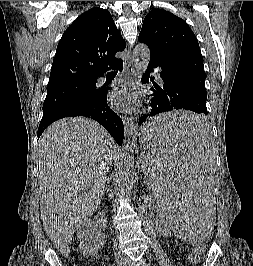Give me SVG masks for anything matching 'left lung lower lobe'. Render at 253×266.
Wrapping results in <instances>:
<instances>
[{"mask_svg": "<svg viewBox=\"0 0 253 266\" xmlns=\"http://www.w3.org/2000/svg\"><path fill=\"white\" fill-rule=\"evenodd\" d=\"M160 67V76L164 82L162 86L154 83L149 87L151 91V110L143 116L138 125L146 121L148 116H155L162 112L186 109L201 114L203 118L192 120L183 125L161 124L151 128L156 135L185 134L200 136L207 130L204 115H207L205 89L206 73L203 65L182 56H150L149 69L142 78L143 83L149 82L150 72ZM153 79V78H152Z\"/></svg>", "mask_w": 253, "mask_h": 266, "instance_id": "1", "label": "left lung lower lobe"}]
</instances>
